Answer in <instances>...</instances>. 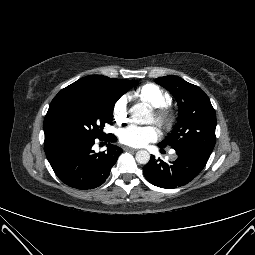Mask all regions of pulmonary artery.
Wrapping results in <instances>:
<instances>
[{"instance_id": "pulmonary-artery-1", "label": "pulmonary artery", "mask_w": 255, "mask_h": 255, "mask_svg": "<svg viewBox=\"0 0 255 255\" xmlns=\"http://www.w3.org/2000/svg\"><path fill=\"white\" fill-rule=\"evenodd\" d=\"M171 157H172V158H174V157H175L174 152H172Z\"/></svg>"}]
</instances>
